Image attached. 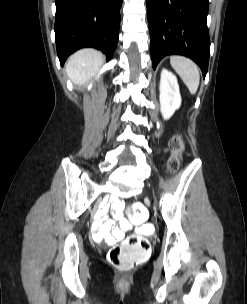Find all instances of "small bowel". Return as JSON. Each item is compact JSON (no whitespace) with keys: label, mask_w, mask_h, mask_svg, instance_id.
Returning a JSON list of instances; mask_svg holds the SVG:
<instances>
[{"label":"small bowel","mask_w":247,"mask_h":304,"mask_svg":"<svg viewBox=\"0 0 247 304\" xmlns=\"http://www.w3.org/2000/svg\"><path fill=\"white\" fill-rule=\"evenodd\" d=\"M110 206L117 210L116 217L120 218L118 210L122 206V202L114 197L108 198L107 201L99 207L92 225L93 238L98 242L105 241L107 243H114L120 240L124 236V233L131 228L128 221L121 218L119 226L115 227V221L106 217Z\"/></svg>","instance_id":"small-bowel-1"}]
</instances>
